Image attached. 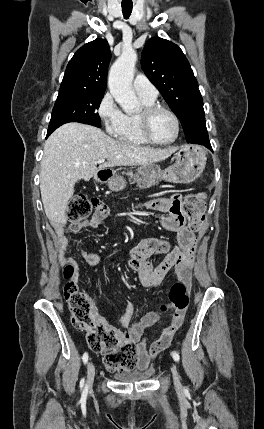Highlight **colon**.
Listing matches in <instances>:
<instances>
[{
	"label": "colon",
	"mask_w": 264,
	"mask_h": 429,
	"mask_svg": "<svg viewBox=\"0 0 264 429\" xmlns=\"http://www.w3.org/2000/svg\"><path fill=\"white\" fill-rule=\"evenodd\" d=\"M93 208H96L95 214L103 213V207L97 201L90 200L81 194L75 195L68 204L67 217L72 222L83 220L91 214ZM181 211L188 220L191 232H198L205 218V195L203 193L187 195L181 205ZM73 276L74 266L67 265L64 269L66 279L64 296L68 303L72 324L86 333L91 350L104 354L107 369L129 372L137 358L134 341L128 333L118 331L98 315L94 300L78 288ZM188 302L186 285L178 281L170 289L169 304L162 305L160 310L165 312L168 308H172L175 312L184 313Z\"/></svg>",
	"instance_id": "obj_1"
}]
</instances>
